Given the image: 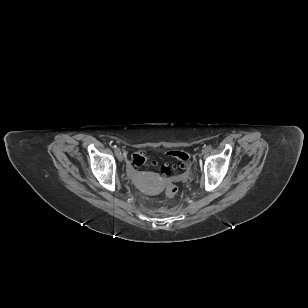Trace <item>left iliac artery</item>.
Here are the masks:
<instances>
[{"instance_id": "left-iliac-artery-1", "label": "left iliac artery", "mask_w": 308, "mask_h": 308, "mask_svg": "<svg viewBox=\"0 0 308 308\" xmlns=\"http://www.w3.org/2000/svg\"><path fill=\"white\" fill-rule=\"evenodd\" d=\"M205 149H206L207 151H210V150L212 149V146H211V145H208V146L205 147Z\"/></svg>"}]
</instances>
